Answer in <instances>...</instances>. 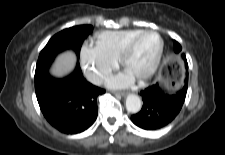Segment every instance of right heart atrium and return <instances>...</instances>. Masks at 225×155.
<instances>
[{
    "instance_id": "d8ad5b80",
    "label": "right heart atrium",
    "mask_w": 225,
    "mask_h": 155,
    "mask_svg": "<svg viewBox=\"0 0 225 155\" xmlns=\"http://www.w3.org/2000/svg\"><path fill=\"white\" fill-rule=\"evenodd\" d=\"M80 59L85 76L94 84L104 81L117 66L116 60L88 45L81 48Z\"/></svg>"
}]
</instances>
